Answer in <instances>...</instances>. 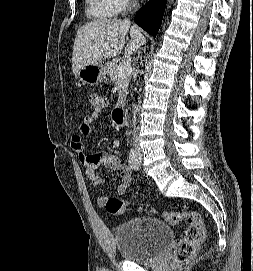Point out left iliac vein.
<instances>
[{
	"label": "left iliac vein",
	"mask_w": 253,
	"mask_h": 271,
	"mask_svg": "<svg viewBox=\"0 0 253 271\" xmlns=\"http://www.w3.org/2000/svg\"><path fill=\"white\" fill-rule=\"evenodd\" d=\"M138 164L139 165L141 164V152L139 149H138Z\"/></svg>",
	"instance_id": "obj_1"
}]
</instances>
